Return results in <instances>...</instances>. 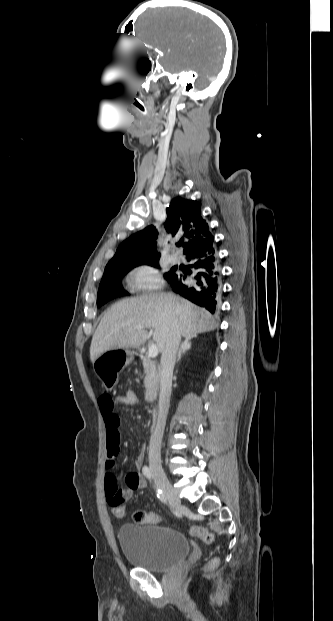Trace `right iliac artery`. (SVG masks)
<instances>
[{
    "label": "right iliac artery",
    "instance_id": "right-iliac-artery-1",
    "mask_svg": "<svg viewBox=\"0 0 333 621\" xmlns=\"http://www.w3.org/2000/svg\"><path fill=\"white\" fill-rule=\"evenodd\" d=\"M142 472L150 481L152 480V478H153L152 477V473H151V470H150V468L148 466H144L142 468ZM156 493H157V497L160 499V501L165 503V504H167V498H166L165 494L163 493V491L160 488L156 487Z\"/></svg>",
    "mask_w": 333,
    "mask_h": 621
}]
</instances>
